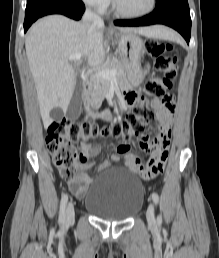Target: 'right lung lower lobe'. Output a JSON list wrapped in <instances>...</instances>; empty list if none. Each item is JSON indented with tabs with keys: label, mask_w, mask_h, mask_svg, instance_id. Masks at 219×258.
<instances>
[{
	"label": "right lung lower lobe",
	"mask_w": 219,
	"mask_h": 258,
	"mask_svg": "<svg viewBox=\"0 0 219 258\" xmlns=\"http://www.w3.org/2000/svg\"><path fill=\"white\" fill-rule=\"evenodd\" d=\"M85 10L81 0H43L25 11L24 32L38 18L49 14H63L79 20Z\"/></svg>",
	"instance_id": "obj_1"
}]
</instances>
